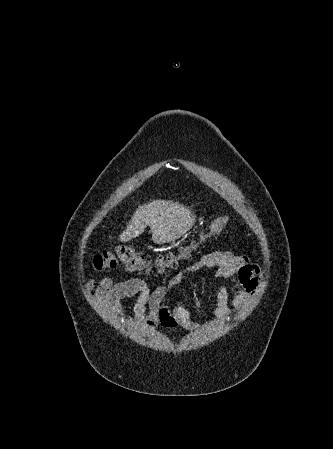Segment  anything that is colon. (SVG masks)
Instances as JSON below:
<instances>
[{
    "label": "colon",
    "instance_id": "obj_1",
    "mask_svg": "<svg viewBox=\"0 0 333 449\" xmlns=\"http://www.w3.org/2000/svg\"><path fill=\"white\" fill-rule=\"evenodd\" d=\"M229 221V216L215 219L196 240L180 248L177 252H169L159 256L154 262L145 258L134 248L122 245L113 251H106L96 255L93 258L92 265L97 271L112 269L118 264H123L130 271L139 272L149 271L152 266H155L158 271L175 268L179 261L188 258L207 238L221 232Z\"/></svg>",
    "mask_w": 333,
    "mask_h": 449
}]
</instances>
